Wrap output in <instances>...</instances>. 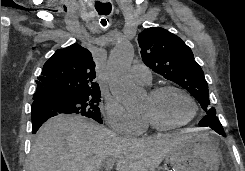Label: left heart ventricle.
Wrapping results in <instances>:
<instances>
[{"label": "left heart ventricle", "mask_w": 245, "mask_h": 171, "mask_svg": "<svg viewBox=\"0 0 245 171\" xmlns=\"http://www.w3.org/2000/svg\"><path fill=\"white\" fill-rule=\"evenodd\" d=\"M143 112L151 113L164 123L175 124L185 121L192 113V106L181 93L170 90L153 99L149 95Z\"/></svg>", "instance_id": "1"}]
</instances>
